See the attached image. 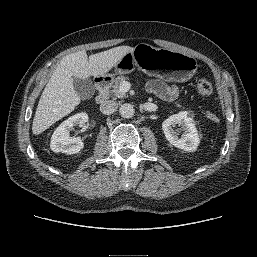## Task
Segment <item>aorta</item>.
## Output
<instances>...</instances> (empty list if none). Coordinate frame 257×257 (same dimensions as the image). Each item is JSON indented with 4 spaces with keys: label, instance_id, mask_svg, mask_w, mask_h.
Wrapping results in <instances>:
<instances>
[{
    "label": "aorta",
    "instance_id": "1",
    "mask_svg": "<svg viewBox=\"0 0 257 257\" xmlns=\"http://www.w3.org/2000/svg\"><path fill=\"white\" fill-rule=\"evenodd\" d=\"M119 113H120L121 117L129 119V118L133 117V115L135 113V109H134L133 105H131L129 103H124L120 106Z\"/></svg>",
    "mask_w": 257,
    "mask_h": 257
}]
</instances>
